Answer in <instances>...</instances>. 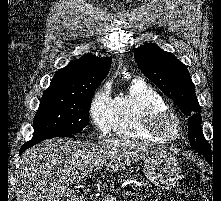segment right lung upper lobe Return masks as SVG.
<instances>
[{
	"mask_svg": "<svg viewBox=\"0 0 221 201\" xmlns=\"http://www.w3.org/2000/svg\"><path fill=\"white\" fill-rule=\"evenodd\" d=\"M111 61L110 58L85 54L58 70L46 91L70 94L94 92L107 76Z\"/></svg>",
	"mask_w": 221,
	"mask_h": 201,
	"instance_id": "1",
	"label": "right lung upper lobe"
}]
</instances>
